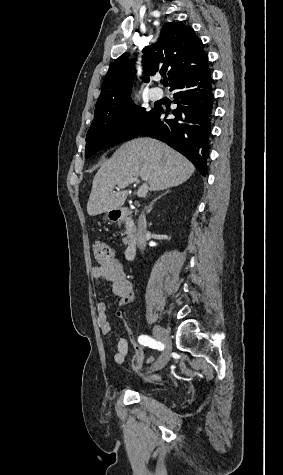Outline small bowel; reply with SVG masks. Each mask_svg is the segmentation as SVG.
Returning a JSON list of instances; mask_svg holds the SVG:
<instances>
[{
    "instance_id": "small-bowel-1",
    "label": "small bowel",
    "mask_w": 283,
    "mask_h": 475,
    "mask_svg": "<svg viewBox=\"0 0 283 475\" xmlns=\"http://www.w3.org/2000/svg\"><path fill=\"white\" fill-rule=\"evenodd\" d=\"M90 274L95 279L107 280L112 285V291L114 295L119 298V305L125 306L129 304L133 298L132 283L128 279L123 263L118 259H113L106 265H95L90 269ZM98 323L100 331L103 335L111 333L112 327L107 318V305L105 302H99L96 306ZM117 316L120 317L121 313L117 312ZM116 324L119 322L117 319L114 321ZM128 334L132 337V332L128 330ZM134 354L132 357L131 371L133 374H138L143 366L146 365V359L142 347L136 344L134 341ZM130 349L126 338L119 337L117 340V351L113 355L114 362L117 365H122L129 356ZM161 380V376L158 373H152L145 376L144 381L146 383H156Z\"/></svg>"
}]
</instances>
